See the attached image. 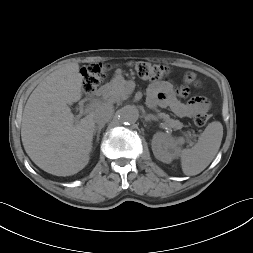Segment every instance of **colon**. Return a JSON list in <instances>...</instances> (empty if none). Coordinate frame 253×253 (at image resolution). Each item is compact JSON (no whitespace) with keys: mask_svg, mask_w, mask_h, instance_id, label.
I'll return each mask as SVG.
<instances>
[{"mask_svg":"<svg viewBox=\"0 0 253 253\" xmlns=\"http://www.w3.org/2000/svg\"><path fill=\"white\" fill-rule=\"evenodd\" d=\"M139 77L150 79V80H160L169 75L170 69L164 65L151 64L145 61L133 62L130 64ZM109 66L105 64H92L81 69L82 76V88L83 92L90 96L93 95L99 86V84L105 78ZM184 82L187 86H192L194 88L201 87V81L192 72H187L184 74ZM188 91L187 87H184ZM209 120V113L207 111H201L195 114L193 122L196 126H204Z\"/></svg>","mask_w":253,"mask_h":253,"instance_id":"5ec220e1","label":"colon"}]
</instances>
